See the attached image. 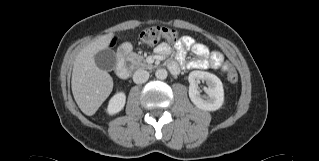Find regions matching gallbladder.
I'll list each match as a JSON object with an SVG mask.
<instances>
[{
    "instance_id": "gallbladder-1",
    "label": "gallbladder",
    "mask_w": 319,
    "mask_h": 161,
    "mask_svg": "<svg viewBox=\"0 0 319 161\" xmlns=\"http://www.w3.org/2000/svg\"><path fill=\"white\" fill-rule=\"evenodd\" d=\"M94 60L98 68L104 71H111L117 64V57L110 48L103 49L94 55Z\"/></svg>"
}]
</instances>
